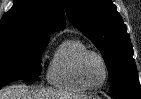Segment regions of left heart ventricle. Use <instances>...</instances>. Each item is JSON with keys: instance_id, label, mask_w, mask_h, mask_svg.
Returning <instances> with one entry per match:
<instances>
[{"instance_id": "left-heart-ventricle-1", "label": "left heart ventricle", "mask_w": 141, "mask_h": 99, "mask_svg": "<svg viewBox=\"0 0 141 99\" xmlns=\"http://www.w3.org/2000/svg\"><path fill=\"white\" fill-rule=\"evenodd\" d=\"M83 74L90 85L101 84L104 79V68L100 59L94 55L88 56L83 64Z\"/></svg>"}]
</instances>
